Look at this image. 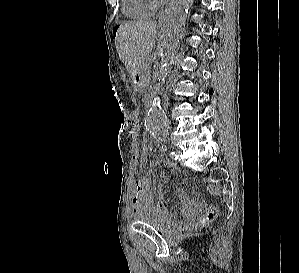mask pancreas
<instances>
[{"mask_svg": "<svg viewBox=\"0 0 299 273\" xmlns=\"http://www.w3.org/2000/svg\"><path fill=\"white\" fill-rule=\"evenodd\" d=\"M140 73L144 82H148L150 79V62L145 59L140 65Z\"/></svg>", "mask_w": 299, "mask_h": 273, "instance_id": "pancreas-1", "label": "pancreas"}]
</instances>
